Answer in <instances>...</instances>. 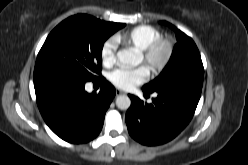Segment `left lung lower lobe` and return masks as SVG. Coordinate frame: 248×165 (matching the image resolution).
Listing matches in <instances>:
<instances>
[{"instance_id":"0a47b994","label":"left lung lower lobe","mask_w":248,"mask_h":165,"mask_svg":"<svg viewBox=\"0 0 248 165\" xmlns=\"http://www.w3.org/2000/svg\"><path fill=\"white\" fill-rule=\"evenodd\" d=\"M201 90L197 87H167L155 91L158 95L151 104L129 95L131 106L125 117L129 134L144 145H159L172 140L192 119Z\"/></svg>"}]
</instances>
